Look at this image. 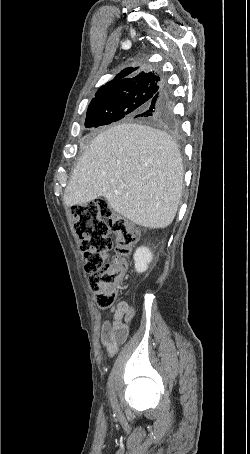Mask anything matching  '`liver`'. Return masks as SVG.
Masks as SVG:
<instances>
[{"instance_id": "obj_1", "label": "liver", "mask_w": 250, "mask_h": 454, "mask_svg": "<svg viewBox=\"0 0 250 454\" xmlns=\"http://www.w3.org/2000/svg\"><path fill=\"white\" fill-rule=\"evenodd\" d=\"M183 178L178 146L166 132L123 123L93 139L75 165L63 199L71 207L103 196L131 222L166 228L177 213Z\"/></svg>"}]
</instances>
